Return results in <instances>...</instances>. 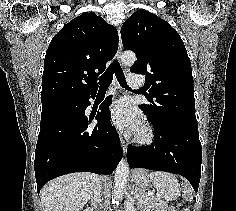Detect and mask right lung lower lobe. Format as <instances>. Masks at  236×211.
Listing matches in <instances>:
<instances>
[{
  "instance_id": "right-lung-lower-lobe-1",
  "label": "right lung lower lobe",
  "mask_w": 236,
  "mask_h": 211,
  "mask_svg": "<svg viewBox=\"0 0 236 211\" xmlns=\"http://www.w3.org/2000/svg\"><path fill=\"white\" fill-rule=\"evenodd\" d=\"M72 103L42 106L41 128L35 151L37 191L51 179L72 172L111 174L123 151L116 130L109 120V96L97 112L98 123L90 126L95 116L85 115L89 98Z\"/></svg>"
}]
</instances>
